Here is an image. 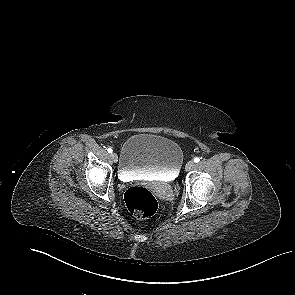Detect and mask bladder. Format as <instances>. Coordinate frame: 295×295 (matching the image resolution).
Segmentation results:
<instances>
[{
    "label": "bladder",
    "instance_id": "1",
    "mask_svg": "<svg viewBox=\"0 0 295 295\" xmlns=\"http://www.w3.org/2000/svg\"><path fill=\"white\" fill-rule=\"evenodd\" d=\"M183 164V152L175 141L150 133L128 138L120 151L119 173L124 178L137 175L173 180Z\"/></svg>",
    "mask_w": 295,
    "mask_h": 295
}]
</instances>
